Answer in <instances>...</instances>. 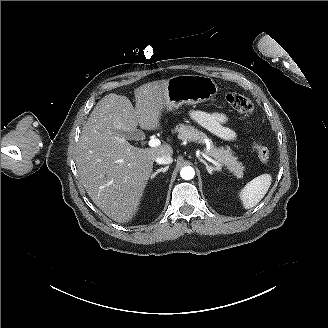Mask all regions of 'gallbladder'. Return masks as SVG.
Segmentation results:
<instances>
[{"label": "gallbladder", "mask_w": 328, "mask_h": 328, "mask_svg": "<svg viewBox=\"0 0 328 328\" xmlns=\"http://www.w3.org/2000/svg\"><path fill=\"white\" fill-rule=\"evenodd\" d=\"M112 133L124 137L127 140H143L145 134L142 130L136 129L134 131L125 132L123 130L112 129Z\"/></svg>", "instance_id": "1"}]
</instances>
